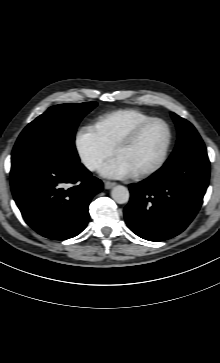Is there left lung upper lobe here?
<instances>
[{"label":"left lung upper lobe","instance_id":"obj_1","mask_svg":"<svg viewBox=\"0 0 220 363\" xmlns=\"http://www.w3.org/2000/svg\"><path fill=\"white\" fill-rule=\"evenodd\" d=\"M171 115L177 125L178 140L168 160L176 159L190 152H206V147L194 126L175 113H171Z\"/></svg>","mask_w":220,"mask_h":363}]
</instances>
